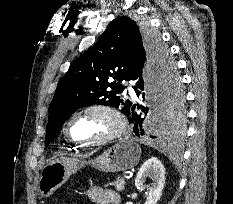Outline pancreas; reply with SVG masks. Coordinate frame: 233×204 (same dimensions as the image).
Wrapping results in <instances>:
<instances>
[{"mask_svg":"<svg viewBox=\"0 0 233 204\" xmlns=\"http://www.w3.org/2000/svg\"><path fill=\"white\" fill-rule=\"evenodd\" d=\"M107 186H114L118 192H122L125 189V181L121 179H117L116 181L105 185V187Z\"/></svg>","mask_w":233,"mask_h":204,"instance_id":"pancreas-1","label":"pancreas"}]
</instances>
